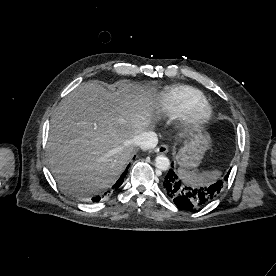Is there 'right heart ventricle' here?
<instances>
[{
	"label": "right heart ventricle",
	"mask_w": 276,
	"mask_h": 276,
	"mask_svg": "<svg viewBox=\"0 0 276 276\" xmlns=\"http://www.w3.org/2000/svg\"><path fill=\"white\" fill-rule=\"evenodd\" d=\"M204 102V94L190 86L170 88L161 97L162 110L172 118H182L191 108Z\"/></svg>",
	"instance_id": "obj_1"
}]
</instances>
